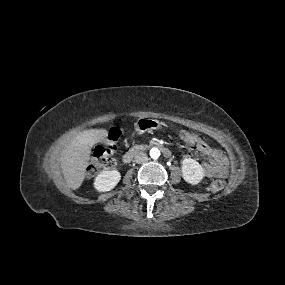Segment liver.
<instances>
[{
	"label": "liver",
	"mask_w": 285,
	"mask_h": 285,
	"mask_svg": "<svg viewBox=\"0 0 285 285\" xmlns=\"http://www.w3.org/2000/svg\"><path fill=\"white\" fill-rule=\"evenodd\" d=\"M108 132L104 129H91L80 132L64 151L61 168L69 188L78 189L85 177L90 159V145L102 141Z\"/></svg>",
	"instance_id": "obj_1"
}]
</instances>
